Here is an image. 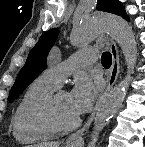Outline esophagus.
<instances>
[{
    "mask_svg": "<svg viewBox=\"0 0 145 147\" xmlns=\"http://www.w3.org/2000/svg\"><path fill=\"white\" fill-rule=\"evenodd\" d=\"M110 52L112 55V64L109 70V73L107 75V86L102 95L100 96L95 108L93 109L92 113L90 114L87 122L85 125L75 133L71 134L67 140V142H81L83 141V135L85 132L88 131L89 127L91 126V123L95 117L96 111L98 109V106L102 99L109 93L113 85L115 84L119 71H120V62H119V52L118 48L116 46V43L114 41L110 42Z\"/></svg>",
    "mask_w": 145,
    "mask_h": 147,
    "instance_id": "obj_1",
    "label": "esophagus"
}]
</instances>
